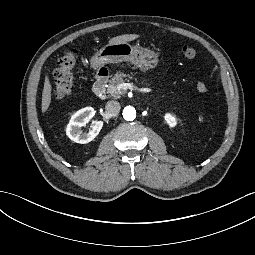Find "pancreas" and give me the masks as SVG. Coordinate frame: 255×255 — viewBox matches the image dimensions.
<instances>
[{
    "mask_svg": "<svg viewBox=\"0 0 255 255\" xmlns=\"http://www.w3.org/2000/svg\"><path fill=\"white\" fill-rule=\"evenodd\" d=\"M124 78L132 79V76L130 74H125L123 72H116V74L109 80V84L107 87V93L112 96L114 99L120 98L122 95L126 93V90L121 89L120 91L117 89V86L119 84L124 83L126 80Z\"/></svg>",
    "mask_w": 255,
    "mask_h": 255,
    "instance_id": "obj_1",
    "label": "pancreas"
}]
</instances>
